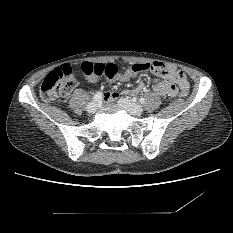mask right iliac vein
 <instances>
[{"label": "right iliac vein", "mask_w": 233, "mask_h": 233, "mask_svg": "<svg viewBox=\"0 0 233 233\" xmlns=\"http://www.w3.org/2000/svg\"><path fill=\"white\" fill-rule=\"evenodd\" d=\"M96 110H97V103H96V102H90V103L87 105V111H88L89 113H94Z\"/></svg>", "instance_id": "1"}]
</instances>
